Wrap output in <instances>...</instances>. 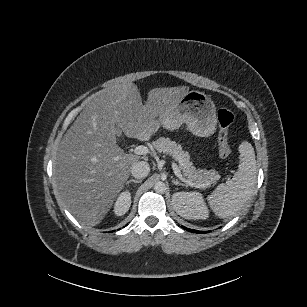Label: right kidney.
<instances>
[{
	"mask_svg": "<svg viewBox=\"0 0 307 307\" xmlns=\"http://www.w3.org/2000/svg\"><path fill=\"white\" fill-rule=\"evenodd\" d=\"M131 190L125 189L119 193L113 204L112 212L116 217H121L127 213L131 206Z\"/></svg>",
	"mask_w": 307,
	"mask_h": 307,
	"instance_id": "obj_1",
	"label": "right kidney"
}]
</instances>
